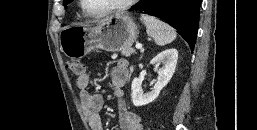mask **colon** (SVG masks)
<instances>
[{
  "label": "colon",
  "instance_id": "5ec220e1",
  "mask_svg": "<svg viewBox=\"0 0 257 130\" xmlns=\"http://www.w3.org/2000/svg\"><path fill=\"white\" fill-rule=\"evenodd\" d=\"M67 68L74 74L77 76H81L86 72V67L85 65L78 61V60H74V59H70L67 61Z\"/></svg>",
  "mask_w": 257,
  "mask_h": 130
}]
</instances>
